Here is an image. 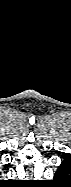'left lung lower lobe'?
<instances>
[{
    "label": "left lung lower lobe",
    "instance_id": "left-lung-lower-lobe-1",
    "mask_svg": "<svg viewBox=\"0 0 71 187\" xmlns=\"http://www.w3.org/2000/svg\"><path fill=\"white\" fill-rule=\"evenodd\" d=\"M71 178V155L66 154L63 161L58 166L54 179L57 182H69Z\"/></svg>",
    "mask_w": 71,
    "mask_h": 187
}]
</instances>
